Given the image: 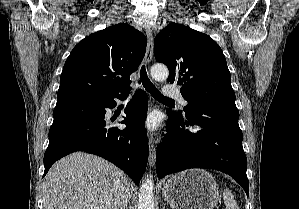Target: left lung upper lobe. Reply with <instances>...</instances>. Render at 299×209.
Masks as SVG:
<instances>
[{"mask_svg":"<svg viewBox=\"0 0 299 209\" xmlns=\"http://www.w3.org/2000/svg\"><path fill=\"white\" fill-rule=\"evenodd\" d=\"M154 48L157 62L169 69L168 82L182 86L185 114L201 100L235 101L223 51L208 35L170 23L155 37Z\"/></svg>","mask_w":299,"mask_h":209,"instance_id":"obj_1","label":"left lung upper lobe"}]
</instances>
